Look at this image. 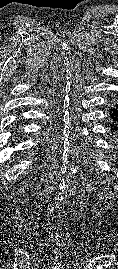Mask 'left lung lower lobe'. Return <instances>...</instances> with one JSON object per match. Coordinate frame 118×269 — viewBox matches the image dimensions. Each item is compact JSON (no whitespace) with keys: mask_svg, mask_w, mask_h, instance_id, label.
I'll return each mask as SVG.
<instances>
[{"mask_svg":"<svg viewBox=\"0 0 118 269\" xmlns=\"http://www.w3.org/2000/svg\"><path fill=\"white\" fill-rule=\"evenodd\" d=\"M112 100V107L110 108V115H111V119H112V123H111V132L112 135H114L115 140L117 141L118 139V103H117V99H110Z\"/></svg>","mask_w":118,"mask_h":269,"instance_id":"left-lung-lower-lobe-1","label":"left lung lower lobe"}]
</instances>
